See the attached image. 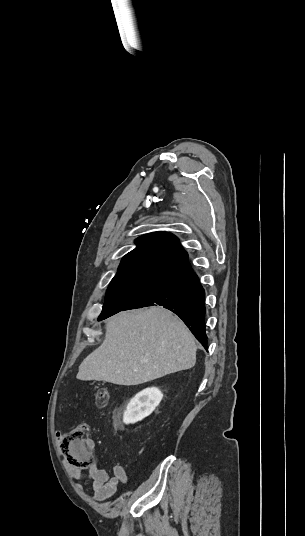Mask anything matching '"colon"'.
<instances>
[{
    "label": "colon",
    "mask_w": 305,
    "mask_h": 536,
    "mask_svg": "<svg viewBox=\"0 0 305 536\" xmlns=\"http://www.w3.org/2000/svg\"><path fill=\"white\" fill-rule=\"evenodd\" d=\"M108 400L109 391L100 389L96 397L97 406H105ZM88 431V423L81 422L70 431L69 435L61 436L62 452L67 454V461L72 462L73 471H85L91 468V463L88 461L93 452V445L89 435H86Z\"/></svg>",
    "instance_id": "obj_1"
}]
</instances>
